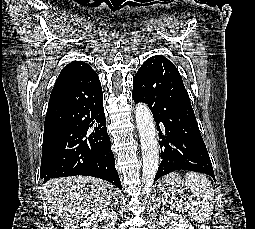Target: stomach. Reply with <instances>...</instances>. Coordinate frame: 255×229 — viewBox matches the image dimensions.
Segmentation results:
<instances>
[{"label": "stomach", "mask_w": 255, "mask_h": 229, "mask_svg": "<svg viewBox=\"0 0 255 229\" xmlns=\"http://www.w3.org/2000/svg\"><path fill=\"white\" fill-rule=\"evenodd\" d=\"M158 187L160 190L164 191V193L171 194L173 197L189 189L186 181L182 180L178 173H171L162 178Z\"/></svg>", "instance_id": "1"}]
</instances>
